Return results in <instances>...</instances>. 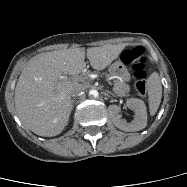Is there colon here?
Listing matches in <instances>:
<instances>
[{"label":"colon","instance_id":"5ec220e1","mask_svg":"<svg viewBox=\"0 0 187 187\" xmlns=\"http://www.w3.org/2000/svg\"><path fill=\"white\" fill-rule=\"evenodd\" d=\"M144 52L145 50L142 46H136L124 51L122 54L123 62L129 64L134 71V77L136 78L135 89L140 95H144L147 92V69Z\"/></svg>","mask_w":187,"mask_h":187}]
</instances>
